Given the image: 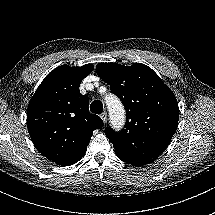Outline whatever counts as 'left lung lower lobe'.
<instances>
[{
  "label": "left lung lower lobe",
  "mask_w": 215,
  "mask_h": 215,
  "mask_svg": "<svg viewBox=\"0 0 215 215\" xmlns=\"http://www.w3.org/2000/svg\"><path fill=\"white\" fill-rule=\"evenodd\" d=\"M116 155L118 156L119 159H121L122 161L134 165V166H142L145 164H148L152 161H154L157 157L151 158V157H131V156H125L123 154H120L118 152H116Z\"/></svg>",
  "instance_id": "0a47b994"
}]
</instances>
